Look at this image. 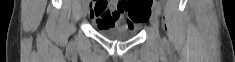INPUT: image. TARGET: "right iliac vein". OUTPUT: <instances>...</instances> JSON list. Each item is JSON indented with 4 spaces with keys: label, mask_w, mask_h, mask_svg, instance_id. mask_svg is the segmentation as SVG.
I'll list each match as a JSON object with an SVG mask.
<instances>
[{
    "label": "right iliac vein",
    "mask_w": 235,
    "mask_h": 62,
    "mask_svg": "<svg viewBox=\"0 0 235 62\" xmlns=\"http://www.w3.org/2000/svg\"><path fill=\"white\" fill-rule=\"evenodd\" d=\"M87 13H88V6L86 4H84L82 6V15H83V17H86Z\"/></svg>",
    "instance_id": "63e3f726"
}]
</instances>
